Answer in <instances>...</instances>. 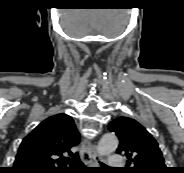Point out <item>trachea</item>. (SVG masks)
I'll return each instance as SVG.
<instances>
[{"label":"trachea","instance_id":"3493384b","mask_svg":"<svg viewBox=\"0 0 184 173\" xmlns=\"http://www.w3.org/2000/svg\"><path fill=\"white\" fill-rule=\"evenodd\" d=\"M66 162L70 164V168L78 169L84 167V164L81 162L79 158V153H76L72 158L65 159ZM102 167H105L103 163H101Z\"/></svg>","mask_w":184,"mask_h":173}]
</instances>
